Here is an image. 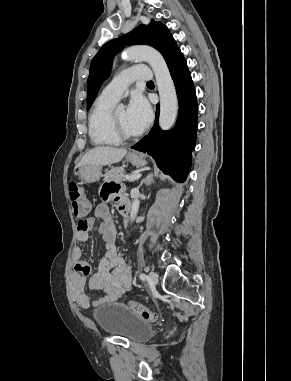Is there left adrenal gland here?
Listing matches in <instances>:
<instances>
[{"mask_svg":"<svg viewBox=\"0 0 291 381\" xmlns=\"http://www.w3.org/2000/svg\"><path fill=\"white\" fill-rule=\"evenodd\" d=\"M152 176V174H149L142 182H144L146 185H150L151 183H153Z\"/></svg>","mask_w":291,"mask_h":381,"instance_id":"1","label":"left adrenal gland"}]
</instances>
